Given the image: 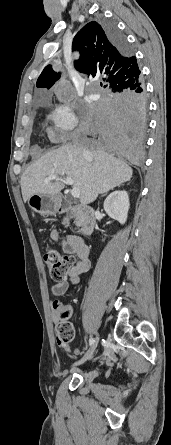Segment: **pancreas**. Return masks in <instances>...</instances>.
<instances>
[{
	"mask_svg": "<svg viewBox=\"0 0 171 445\" xmlns=\"http://www.w3.org/2000/svg\"><path fill=\"white\" fill-rule=\"evenodd\" d=\"M75 223L77 224V226H81L82 222H80L79 220H75Z\"/></svg>",
	"mask_w": 171,
	"mask_h": 445,
	"instance_id": "pancreas-1",
	"label": "pancreas"
}]
</instances>
